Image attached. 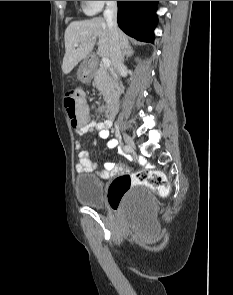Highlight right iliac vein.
I'll list each match as a JSON object with an SVG mask.
<instances>
[{
  "mask_svg": "<svg viewBox=\"0 0 233 295\" xmlns=\"http://www.w3.org/2000/svg\"><path fill=\"white\" fill-rule=\"evenodd\" d=\"M123 139L126 143L125 147L128 148V152H134L135 145L133 139L127 134H123Z\"/></svg>",
  "mask_w": 233,
  "mask_h": 295,
  "instance_id": "1",
  "label": "right iliac vein"
}]
</instances>
